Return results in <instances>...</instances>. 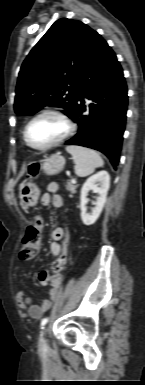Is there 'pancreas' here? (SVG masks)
<instances>
[{
    "label": "pancreas",
    "mask_w": 145,
    "mask_h": 385,
    "mask_svg": "<svg viewBox=\"0 0 145 385\" xmlns=\"http://www.w3.org/2000/svg\"><path fill=\"white\" fill-rule=\"evenodd\" d=\"M77 187L78 185L73 184L72 182H67L65 185L66 190L70 192V196L76 193Z\"/></svg>",
    "instance_id": "1"
}]
</instances>
